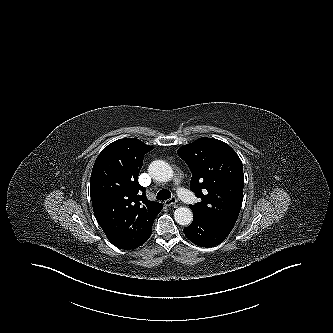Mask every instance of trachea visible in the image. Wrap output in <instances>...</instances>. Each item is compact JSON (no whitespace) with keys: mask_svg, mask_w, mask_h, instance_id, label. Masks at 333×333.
Listing matches in <instances>:
<instances>
[{"mask_svg":"<svg viewBox=\"0 0 333 333\" xmlns=\"http://www.w3.org/2000/svg\"><path fill=\"white\" fill-rule=\"evenodd\" d=\"M156 198L158 200H167L171 198V192L167 189H162L157 193Z\"/></svg>","mask_w":333,"mask_h":333,"instance_id":"obj_1","label":"trachea"}]
</instances>
